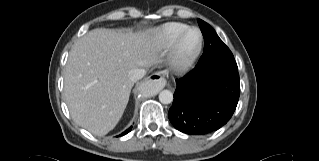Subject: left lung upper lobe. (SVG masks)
<instances>
[{"label":"left lung upper lobe","instance_id":"left-lung-upper-lobe-1","mask_svg":"<svg viewBox=\"0 0 319 161\" xmlns=\"http://www.w3.org/2000/svg\"><path fill=\"white\" fill-rule=\"evenodd\" d=\"M197 21L205 40L204 51L197 66L222 64L237 67L232 52L218 37L215 30L203 20L197 19Z\"/></svg>","mask_w":319,"mask_h":161}]
</instances>
